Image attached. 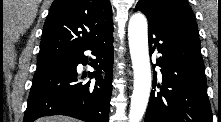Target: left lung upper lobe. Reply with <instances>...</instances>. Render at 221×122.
<instances>
[{
	"instance_id": "5c2ea615",
	"label": "left lung upper lobe",
	"mask_w": 221,
	"mask_h": 122,
	"mask_svg": "<svg viewBox=\"0 0 221 122\" xmlns=\"http://www.w3.org/2000/svg\"><path fill=\"white\" fill-rule=\"evenodd\" d=\"M148 8L160 21L174 26H185L197 31L193 12L186 0H139V7Z\"/></svg>"
}]
</instances>
